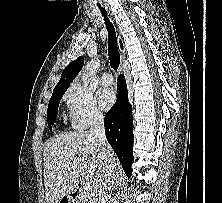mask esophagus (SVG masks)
<instances>
[{"mask_svg": "<svg viewBox=\"0 0 222 203\" xmlns=\"http://www.w3.org/2000/svg\"><path fill=\"white\" fill-rule=\"evenodd\" d=\"M119 37H120V33H118ZM125 58V54L124 53H121V59H124ZM123 69H122V65L120 66V72H122Z\"/></svg>", "mask_w": 222, "mask_h": 203, "instance_id": "1", "label": "esophagus"}]
</instances>
